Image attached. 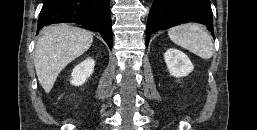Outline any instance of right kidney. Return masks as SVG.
I'll return each instance as SVG.
<instances>
[{"mask_svg": "<svg viewBox=\"0 0 257 130\" xmlns=\"http://www.w3.org/2000/svg\"><path fill=\"white\" fill-rule=\"evenodd\" d=\"M95 62L92 58H87L73 69L71 76V84L80 86L85 83L86 79L89 78L94 71Z\"/></svg>", "mask_w": 257, "mask_h": 130, "instance_id": "right-kidney-1", "label": "right kidney"}]
</instances>
